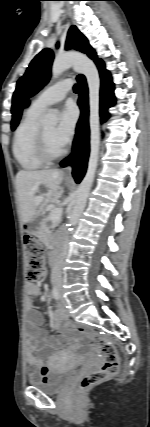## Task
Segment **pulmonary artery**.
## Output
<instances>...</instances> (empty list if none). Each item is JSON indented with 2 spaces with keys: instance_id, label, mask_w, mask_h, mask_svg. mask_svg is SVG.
Instances as JSON below:
<instances>
[{
  "instance_id": "obj_1",
  "label": "pulmonary artery",
  "mask_w": 150,
  "mask_h": 427,
  "mask_svg": "<svg viewBox=\"0 0 150 427\" xmlns=\"http://www.w3.org/2000/svg\"><path fill=\"white\" fill-rule=\"evenodd\" d=\"M71 85L70 80H63L53 84L35 98L32 107L44 111L48 107L62 101L70 90Z\"/></svg>"
}]
</instances>
